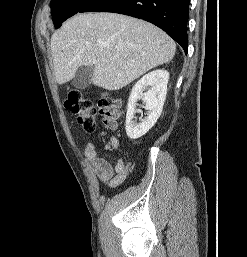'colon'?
<instances>
[{"label": "colon", "instance_id": "5ec220e1", "mask_svg": "<svg viewBox=\"0 0 247 257\" xmlns=\"http://www.w3.org/2000/svg\"><path fill=\"white\" fill-rule=\"evenodd\" d=\"M65 106L77 116L78 122L87 131L94 129L97 114H100L104 126L112 129L121 116L119 100L109 92H104L98 99L97 107L77 89H70L65 99Z\"/></svg>", "mask_w": 247, "mask_h": 257}]
</instances>
